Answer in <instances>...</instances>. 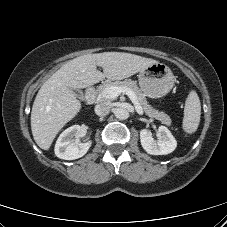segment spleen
Returning a JSON list of instances; mask_svg holds the SVG:
<instances>
[{"label":"spleen","mask_w":227,"mask_h":227,"mask_svg":"<svg viewBox=\"0 0 227 227\" xmlns=\"http://www.w3.org/2000/svg\"><path fill=\"white\" fill-rule=\"evenodd\" d=\"M201 103L195 90H191L185 101L182 127L185 133H194L200 122Z\"/></svg>","instance_id":"obj_1"}]
</instances>
